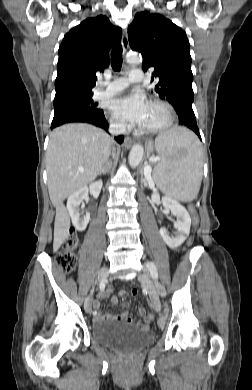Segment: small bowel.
Returning <instances> with one entry per match:
<instances>
[{
  "mask_svg": "<svg viewBox=\"0 0 252 390\" xmlns=\"http://www.w3.org/2000/svg\"><path fill=\"white\" fill-rule=\"evenodd\" d=\"M110 293H112V289L111 288H108L106 291L101 290V292L99 293V297L100 298H104L107 295H109ZM119 294H120V296H124L125 292L124 291H120ZM111 303L113 305L118 304V297L113 295L111 297ZM93 307H94V310L97 312V315L94 316V320L96 322H102V321H105V320H118V321H124V322L131 323V324L135 325L138 328H144V327H146L149 324V322L146 321V317H147L148 314H147L146 309L144 307H141L139 309V314H140L141 317H143L144 323L142 321H140V320H135V319L130 318L128 316L127 311H124V312H122L120 314H117V315L101 314L100 313L101 303H100L99 300H95L93 302ZM152 319H153V317H152Z\"/></svg>",
  "mask_w": 252,
  "mask_h": 390,
  "instance_id": "1",
  "label": "small bowel"
}]
</instances>
